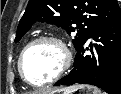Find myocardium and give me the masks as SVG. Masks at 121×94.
Returning a JSON list of instances; mask_svg holds the SVG:
<instances>
[{"instance_id": "obj_1", "label": "myocardium", "mask_w": 121, "mask_h": 94, "mask_svg": "<svg viewBox=\"0 0 121 94\" xmlns=\"http://www.w3.org/2000/svg\"><path fill=\"white\" fill-rule=\"evenodd\" d=\"M43 42L52 43L55 46H57V48L59 49L60 54H61V61H60L57 71L50 79H48L47 81H44L42 83H33L26 77V75L24 73L23 60H24L26 53L28 52V50L30 48H32L33 46H35L37 44L43 43ZM71 61H72L71 51L67 47V45L62 41V39H60L56 36L43 35V36L35 38L34 40L30 41L29 43H27L24 46V48L22 49V51L19 55L18 61H17V69H18V72H19L21 78L23 79V81L25 83H27L28 85L33 86V87H44V86L53 84L54 82H56L60 78H62L63 75L69 69V67L71 65Z\"/></svg>"}]
</instances>
